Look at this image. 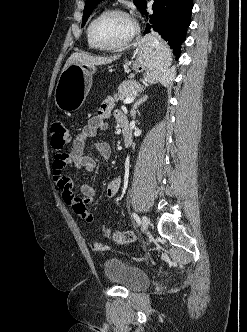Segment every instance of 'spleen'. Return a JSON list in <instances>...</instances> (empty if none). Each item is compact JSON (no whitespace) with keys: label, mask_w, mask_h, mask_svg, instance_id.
<instances>
[{"label":"spleen","mask_w":247,"mask_h":332,"mask_svg":"<svg viewBox=\"0 0 247 332\" xmlns=\"http://www.w3.org/2000/svg\"><path fill=\"white\" fill-rule=\"evenodd\" d=\"M172 77H173L172 74L163 76L160 79L161 84H163L164 86L171 84L172 83Z\"/></svg>","instance_id":"1"}]
</instances>
